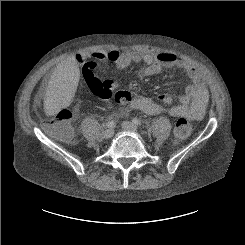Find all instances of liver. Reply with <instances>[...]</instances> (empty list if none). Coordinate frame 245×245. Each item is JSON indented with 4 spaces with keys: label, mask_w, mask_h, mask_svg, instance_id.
Returning a JSON list of instances; mask_svg holds the SVG:
<instances>
[{
    "label": "liver",
    "mask_w": 245,
    "mask_h": 245,
    "mask_svg": "<svg viewBox=\"0 0 245 245\" xmlns=\"http://www.w3.org/2000/svg\"><path fill=\"white\" fill-rule=\"evenodd\" d=\"M78 82L79 68L74 56L56 66L44 98V112L47 116L57 114L72 103Z\"/></svg>",
    "instance_id": "obj_1"
}]
</instances>
